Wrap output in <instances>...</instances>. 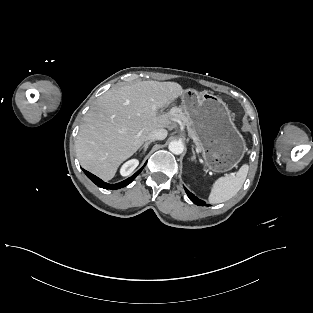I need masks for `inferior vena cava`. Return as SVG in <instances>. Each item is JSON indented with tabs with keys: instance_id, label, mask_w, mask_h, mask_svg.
I'll list each match as a JSON object with an SVG mask.
<instances>
[{
	"instance_id": "1",
	"label": "inferior vena cava",
	"mask_w": 313,
	"mask_h": 313,
	"mask_svg": "<svg viewBox=\"0 0 313 313\" xmlns=\"http://www.w3.org/2000/svg\"><path fill=\"white\" fill-rule=\"evenodd\" d=\"M166 136H167V131L165 129H157V130L150 132L147 135L146 140H149V141L163 140L166 138Z\"/></svg>"
}]
</instances>
